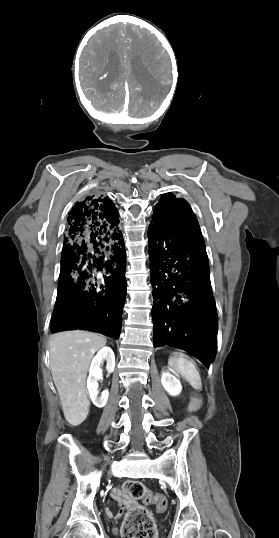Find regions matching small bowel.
<instances>
[{"label": "small bowel", "instance_id": "c3829d8e", "mask_svg": "<svg viewBox=\"0 0 279 538\" xmlns=\"http://www.w3.org/2000/svg\"><path fill=\"white\" fill-rule=\"evenodd\" d=\"M111 497L118 502L119 511L113 514L109 509H106V514L109 518L118 520L122 516L123 509L131 506V502L128 500L126 492L120 487H116L111 491Z\"/></svg>", "mask_w": 279, "mask_h": 538}]
</instances>
